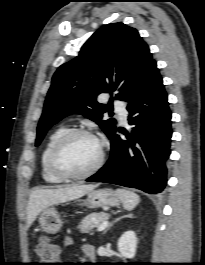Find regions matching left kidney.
<instances>
[{
    "mask_svg": "<svg viewBox=\"0 0 205 265\" xmlns=\"http://www.w3.org/2000/svg\"><path fill=\"white\" fill-rule=\"evenodd\" d=\"M118 250L124 258L133 259L137 249V237L134 231H127L118 240Z\"/></svg>",
    "mask_w": 205,
    "mask_h": 265,
    "instance_id": "1",
    "label": "left kidney"
}]
</instances>
